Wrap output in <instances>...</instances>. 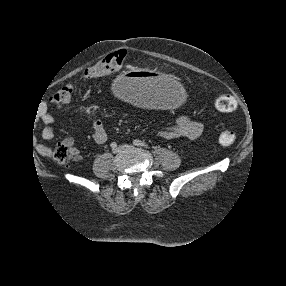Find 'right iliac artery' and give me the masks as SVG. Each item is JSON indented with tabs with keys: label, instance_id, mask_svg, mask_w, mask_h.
Returning a JSON list of instances; mask_svg holds the SVG:
<instances>
[{
	"label": "right iliac artery",
	"instance_id": "82829eb1",
	"mask_svg": "<svg viewBox=\"0 0 286 286\" xmlns=\"http://www.w3.org/2000/svg\"><path fill=\"white\" fill-rule=\"evenodd\" d=\"M110 146H111L112 149H114V148L117 147V144H116V142H112Z\"/></svg>",
	"mask_w": 286,
	"mask_h": 286
}]
</instances>
